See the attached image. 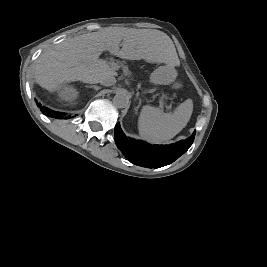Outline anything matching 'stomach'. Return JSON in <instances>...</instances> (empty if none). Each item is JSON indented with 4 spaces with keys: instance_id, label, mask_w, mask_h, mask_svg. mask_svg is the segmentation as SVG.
I'll return each mask as SVG.
<instances>
[{
    "instance_id": "stomach-1",
    "label": "stomach",
    "mask_w": 267,
    "mask_h": 267,
    "mask_svg": "<svg viewBox=\"0 0 267 267\" xmlns=\"http://www.w3.org/2000/svg\"><path fill=\"white\" fill-rule=\"evenodd\" d=\"M176 71L174 68L166 65L155 69L150 75V82L153 84L168 85L174 81Z\"/></svg>"
}]
</instances>
